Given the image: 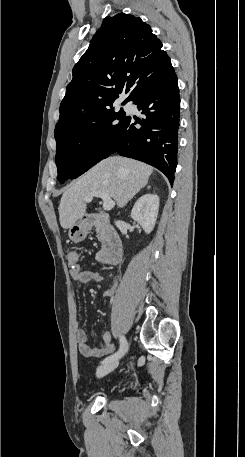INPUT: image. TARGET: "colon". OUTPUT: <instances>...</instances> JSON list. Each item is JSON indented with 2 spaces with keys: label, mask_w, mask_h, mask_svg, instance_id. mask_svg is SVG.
<instances>
[{
  "label": "colon",
  "mask_w": 245,
  "mask_h": 457,
  "mask_svg": "<svg viewBox=\"0 0 245 457\" xmlns=\"http://www.w3.org/2000/svg\"><path fill=\"white\" fill-rule=\"evenodd\" d=\"M78 260H79V255L76 251H71L68 253V261H69L70 265L72 266V269H80Z\"/></svg>",
  "instance_id": "5ec220e1"
}]
</instances>
